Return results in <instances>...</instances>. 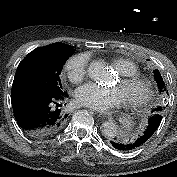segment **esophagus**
<instances>
[{"instance_id":"obj_1","label":"esophagus","mask_w":177,"mask_h":177,"mask_svg":"<svg viewBox=\"0 0 177 177\" xmlns=\"http://www.w3.org/2000/svg\"><path fill=\"white\" fill-rule=\"evenodd\" d=\"M111 116H112V113H111L110 111L103 112V113L101 114V117H102L103 119L110 118Z\"/></svg>"}]
</instances>
